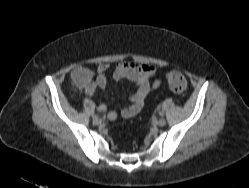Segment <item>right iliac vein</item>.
<instances>
[{"label": "right iliac vein", "instance_id": "right-iliac-vein-1", "mask_svg": "<svg viewBox=\"0 0 249 188\" xmlns=\"http://www.w3.org/2000/svg\"><path fill=\"white\" fill-rule=\"evenodd\" d=\"M93 123L95 125H99V124H101V119H99V118L93 119Z\"/></svg>", "mask_w": 249, "mask_h": 188}]
</instances>
